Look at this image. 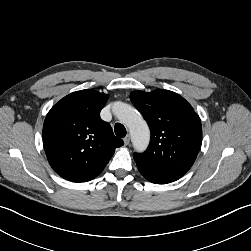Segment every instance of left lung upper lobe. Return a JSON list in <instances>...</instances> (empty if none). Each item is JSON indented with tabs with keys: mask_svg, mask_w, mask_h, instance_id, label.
Segmentation results:
<instances>
[{
	"mask_svg": "<svg viewBox=\"0 0 251 251\" xmlns=\"http://www.w3.org/2000/svg\"><path fill=\"white\" fill-rule=\"evenodd\" d=\"M130 99L151 130L147 150L133 155L137 165L187 173L202 143V126L192 106L175 92L157 89L133 91Z\"/></svg>",
	"mask_w": 251,
	"mask_h": 251,
	"instance_id": "5c2ea615",
	"label": "left lung upper lobe"
}]
</instances>
